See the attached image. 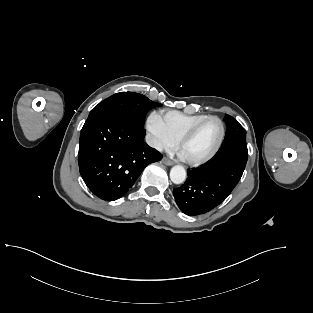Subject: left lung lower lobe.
Listing matches in <instances>:
<instances>
[{
    "label": "left lung lower lobe",
    "mask_w": 313,
    "mask_h": 313,
    "mask_svg": "<svg viewBox=\"0 0 313 313\" xmlns=\"http://www.w3.org/2000/svg\"><path fill=\"white\" fill-rule=\"evenodd\" d=\"M247 159L246 140H234L222 145L206 164L189 169L185 183L173 190L180 210L196 216L223 202L241 179Z\"/></svg>",
    "instance_id": "0a47b994"
}]
</instances>
